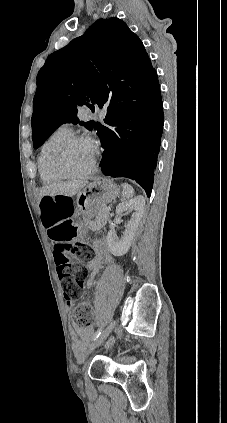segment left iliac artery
Wrapping results in <instances>:
<instances>
[{
    "mask_svg": "<svg viewBox=\"0 0 227 423\" xmlns=\"http://www.w3.org/2000/svg\"><path fill=\"white\" fill-rule=\"evenodd\" d=\"M103 328H104V324L101 325L98 328V330L96 331V333L92 336L91 341H96L97 340V338L101 335V332H102Z\"/></svg>",
    "mask_w": 227,
    "mask_h": 423,
    "instance_id": "left-iliac-artery-1",
    "label": "left iliac artery"
}]
</instances>
